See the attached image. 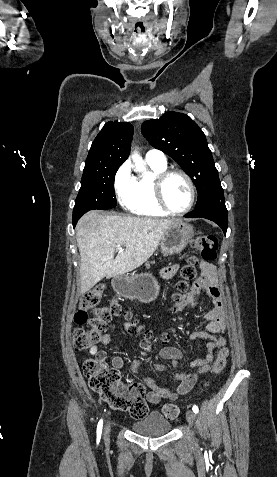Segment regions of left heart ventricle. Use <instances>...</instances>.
<instances>
[{
    "mask_svg": "<svg viewBox=\"0 0 277 477\" xmlns=\"http://www.w3.org/2000/svg\"><path fill=\"white\" fill-rule=\"evenodd\" d=\"M164 195L167 204L172 210H183L188 205L190 198L187 181L179 175L171 176L165 183Z\"/></svg>",
    "mask_w": 277,
    "mask_h": 477,
    "instance_id": "b2bd125f",
    "label": "left heart ventricle"
}]
</instances>
